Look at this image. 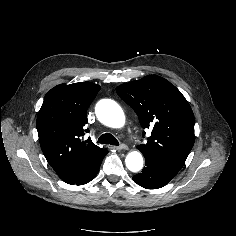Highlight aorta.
Returning <instances> with one entry per match:
<instances>
[{
  "label": "aorta",
  "mask_w": 236,
  "mask_h": 236,
  "mask_svg": "<svg viewBox=\"0 0 236 236\" xmlns=\"http://www.w3.org/2000/svg\"><path fill=\"white\" fill-rule=\"evenodd\" d=\"M98 119L106 126L121 128L125 123V115L120 105L111 100L103 99L96 106ZM126 167L132 172H138L143 167V157L140 152L132 151L125 158Z\"/></svg>",
  "instance_id": "762f6f07"
}]
</instances>
